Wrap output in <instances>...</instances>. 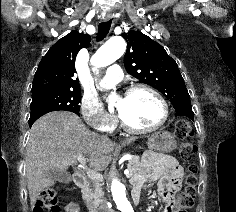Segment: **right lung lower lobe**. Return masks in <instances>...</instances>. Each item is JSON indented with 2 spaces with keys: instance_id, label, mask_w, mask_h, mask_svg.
<instances>
[{
  "instance_id": "right-lung-lower-lobe-1",
  "label": "right lung lower lobe",
  "mask_w": 236,
  "mask_h": 212,
  "mask_svg": "<svg viewBox=\"0 0 236 212\" xmlns=\"http://www.w3.org/2000/svg\"><path fill=\"white\" fill-rule=\"evenodd\" d=\"M37 119H38V118H35V119L29 121V125L32 126V124H33Z\"/></svg>"
}]
</instances>
